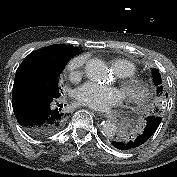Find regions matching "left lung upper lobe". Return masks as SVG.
<instances>
[{
  "label": "left lung upper lobe",
  "mask_w": 177,
  "mask_h": 177,
  "mask_svg": "<svg viewBox=\"0 0 177 177\" xmlns=\"http://www.w3.org/2000/svg\"><path fill=\"white\" fill-rule=\"evenodd\" d=\"M153 78H154V84H155L157 90H156V106H155V109L153 110L152 114H156V115L160 116L159 106L166 99L167 92H166V89L162 83L161 75H160L158 69H156V68L153 69Z\"/></svg>",
  "instance_id": "5c2ea615"
}]
</instances>
